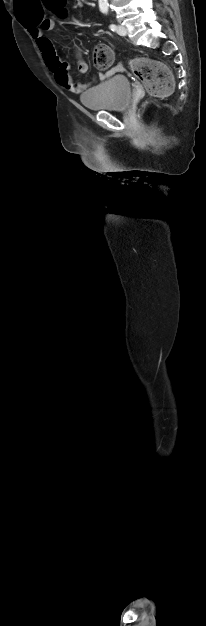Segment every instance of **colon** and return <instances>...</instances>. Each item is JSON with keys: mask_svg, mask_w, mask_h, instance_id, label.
<instances>
[{"mask_svg": "<svg viewBox=\"0 0 206 626\" xmlns=\"http://www.w3.org/2000/svg\"><path fill=\"white\" fill-rule=\"evenodd\" d=\"M46 7L59 14L64 13L66 0H44ZM30 25V24H28ZM113 61L111 49L103 44L97 45L93 53V63L99 69L108 68ZM134 75L144 84L149 95L157 100L170 94L173 79L169 69L161 62L138 57L129 61Z\"/></svg>", "mask_w": 206, "mask_h": 626, "instance_id": "obj_1", "label": "colon"}]
</instances>
